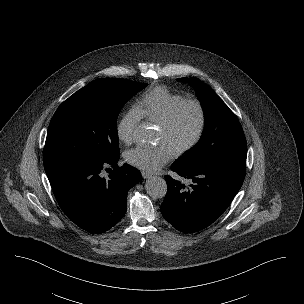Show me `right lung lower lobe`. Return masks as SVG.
Listing matches in <instances>:
<instances>
[{
    "mask_svg": "<svg viewBox=\"0 0 304 304\" xmlns=\"http://www.w3.org/2000/svg\"><path fill=\"white\" fill-rule=\"evenodd\" d=\"M120 156V155H119ZM119 156L109 160L63 161L44 166L56 200L68 218L82 229L102 233L117 224L127 207V193L141 181L138 169ZM112 167L108 177L103 169Z\"/></svg>",
    "mask_w": 304,
    "mask_h": 304,
    "instance_id": "1",
    "label": "right lung lower lobe"
}]
</instances>
